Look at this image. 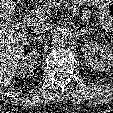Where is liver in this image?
<instances>
[{
    "mask_svg": "<svg viewBox=\"0 0 113 113\" xmlns=\"http://www.w3.org/2000/svg\"><path fill=\"white\" fill-rule=\"evenodd\" d=\"M15 6L14 0H0V88L11 84L27 42V34L16 32L11 24Z\"/></svg>",
    "mask_w": 113,
    "mask_h": 113,
    "instance_id": "obj_1",
    "label": "liver"
}]
</instances>
